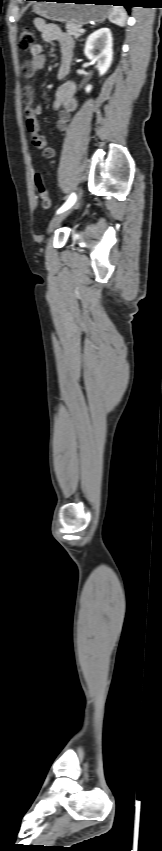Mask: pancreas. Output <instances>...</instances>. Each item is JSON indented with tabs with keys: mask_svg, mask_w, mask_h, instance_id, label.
<instances>
[{
	"mask_svg": "<svg viewBox=\"0 0 162 851\" xmlns=\"http://www.w3.org/2000/svg\"><path fill=\"white\" fill-rule=\"evenodd\" d=\"M81 25L74 23H66V31L68 35L74 36L78 39L84 32H80Z\"/></svg>",
	"mask_w": 162,
	"mask_h": 851,
	"instance_id": "cf45deb5",
	"label": "pancreas"
}]
</instances>
